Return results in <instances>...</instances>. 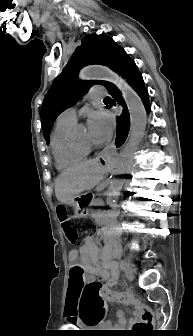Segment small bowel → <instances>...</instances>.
Returning a JSON list of instances; mask_svg holds the SVG:
<instances>
[{"label": "small bowel", "mask_w": 193, "mask_h": 336, "mask_svg": "<svg viewBox=\"0 0 193 336\" xmlns=\"http://www.w3.org/2000/svg\"><path fill=\"white\" fill-rule=\"evenodd\" d=\"M119 250L113 245H107L100 253L94 236H87L82 245L78 249H73L69 253V262L71 267L78 266L88 277L95 276L102 282L106 283L105 296L107 299L120 302H128L131 300L129 292L115 293L110 290L119 280L118 265L115 258L118 256ZM79 301V285L77 278L71 276L69 279V287L67 293L68 305L65 309V316L69 321L77 319V305ZM118 322L126 320L121 310L116 311ZM104 323V322H103Z\"/></svg>", "instance_id": "small-bowel-1"}]
</instances>
